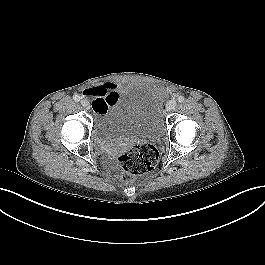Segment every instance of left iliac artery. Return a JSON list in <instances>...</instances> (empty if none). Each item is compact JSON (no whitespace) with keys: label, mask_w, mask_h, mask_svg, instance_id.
<instances>
[{"label":"left iliac artery","mask_w":265,"mask_h":265,"mask_svg":"<svg viewBox=\"0 0 265 265\" xmlns=\"http://www.w3.org/2000/svg\"><path fill=\"white\" fill-rule=\"evenodd\" d=\"M184 97L183 96H178V98H177V101L179 102V103H182L183 101H184Z\"/></svg>","instance_id":"44dca946"}]
</instances>
